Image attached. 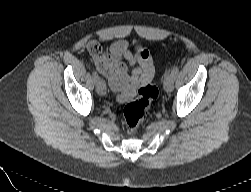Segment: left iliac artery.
Returning a JSON list of instances; mask_svg holds the SVG:
<instances>
[{"instance_id": "obj_1", "label": "left iliac artery", "mask_w": 251, "mask_h": 192, "mask_svg": "<svg viewBox=\"0 0 251 192\" xmlns=\"http://www.w3.org/2000/svg\"><path fill=\"white\" fill-rule=\"evenodd\" d=\"M178 72H179V67L174 66L172 71H171V75L175 78L177 76Z\"/></svg>"}]
</instances>
